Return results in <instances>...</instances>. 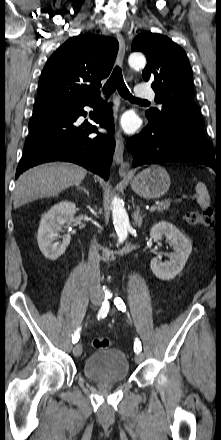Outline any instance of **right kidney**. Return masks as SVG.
I'll use <instances>...</instances> for the list:
<instances>
[{
	"label": "right kidney",
	"mask_w": 221,
	"mask_h": 440,
	"mask_svg": "<svg viewBox=\"0 0 221 440\" xmlns=\"http://www.w3.org/2000/svg\"><path fill=\"white\" fill-rule=\"evenodd\" d=\"M76 213V205L62 201L54 205L42 217L37 234V242L42 254L49 260L58 259L70 243V234H65L61 242L53 243L59 237L62 227L70 225Z\"/></svg>",
	"instance_id": "obj_1"
}]
</instances>
